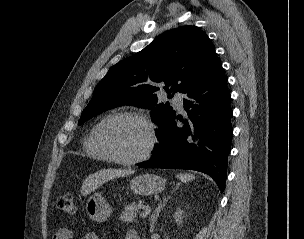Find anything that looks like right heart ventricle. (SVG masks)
<instances>
[{
  "label": "right heart ventricle",
  "mask_w": 304,
  "mask_h": 239,
  "mask_svg": "<svg viewBox=\"0 0 304 239\" xmlns=\"http://www.w3.org/2000/svg\"><path fill=\"white\" fill-rule=\"evenodd\" d=\"M108 116L102 118L99 122H97L94 127L91 129V131L88 133V135L84 138L83 141V148L85 153L95 159L100 160H108V157L101 151V149L98 147L96 143V132L101 124V122L107 118Z\"/></svg>",
  "instance_id": "e07e8e85"
}]
</instances>
